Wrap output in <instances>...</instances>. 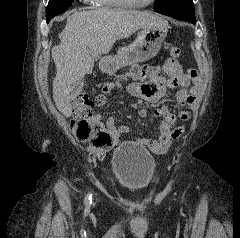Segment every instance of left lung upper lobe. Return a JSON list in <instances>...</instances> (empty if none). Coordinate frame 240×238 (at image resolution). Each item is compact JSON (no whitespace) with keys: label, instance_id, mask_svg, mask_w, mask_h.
I'll return each instance as SVG.
<instances>
[{"label":"left lung upper lobe","instance_id":"1","mask_svg":"<svg viewBox=\"0 0 240 238\" xmlns=\"http://www.w3.org/2000/svg\"><path fill=\"white\" fill-rule=\"evenodd\" d=\"M154 9L156 12L176 11L189 15H195L192 0H156Z\"/></svg>","mask_w":240,"mask_h":238}]
</instances>
